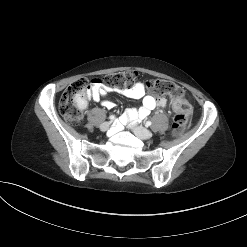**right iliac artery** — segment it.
Returning a JSON list of instances; mask_svg holds the SVG:
<instances>
[{
    "mask_svg": "<svg viewBox=\"0 0 247 247\" xmlns=\"http://www.w3.org/2000/svg\"><path fill=\"white\" fill-rule=\"evenodd\" d=\"M109 119L114 120V119H115V115H111V116L109 117Z\"/></svg>",
    "mask_w": 247,
    "mask_h": 247,
    "instance_id": "1",
    "label": "right iliac artery"
}]
</instances>
